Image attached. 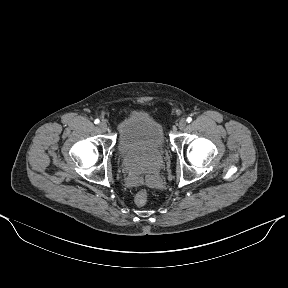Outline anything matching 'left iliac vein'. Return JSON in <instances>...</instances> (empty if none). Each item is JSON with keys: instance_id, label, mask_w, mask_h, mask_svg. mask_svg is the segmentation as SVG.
Masks as SVG:
<instances>
[{"instance_id": "4c4485c4", "label": "left iliac vein", "mask_w": 288, "mask_h": 288, "mask_svg": "<svg viewBox=\"0 0 288 288\" xmlns=\"http://www.w3.org/2000/svg\"><path fill=\"white\" fill-rule=\"evenodd\" d=\"M186 127V120L184 118L180 119L178 122V128L183 130Z\"/></svg>"}]
</instances>
